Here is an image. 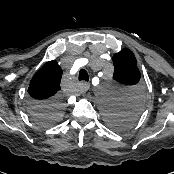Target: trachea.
Masks as SVG:
<instances>
[{
  "mask_svg": "<svg viewBox=\"0 0 174 174\" xmlns=\"http://www.w3.org/2000/svg\"><path fill=\"white\" fill-rule=\"evenodd\" d=\"M79 80H85V81L89 80L88 73H87V71L85 69H81L79 71Z\"/></svg>",
  "mask_w": 174,
  "mask_h": 174,
  "instance_id": "obj_1",
  "label": "trachea"
}]
</instances>
